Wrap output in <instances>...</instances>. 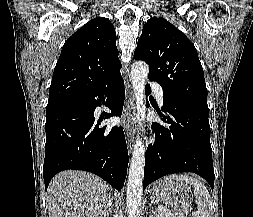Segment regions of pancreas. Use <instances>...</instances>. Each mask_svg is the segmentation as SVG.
Returning <instances> with one entry per match:
<instances>
[{"instance_id":"pancreas-1","label":"pancreas","mask_w":253,"mask_h":217,"mask_svg":"<svg viewBox=\"0 0 253 217\" xmlns=\"http://www.w3.org/2000/svg\"><path fill=\"white\" fill-rule=\"evenodd\" d=\"M156 217H177V216H175L169 209H167L166 211H157Z\"/></svg>"}]
</instances>
